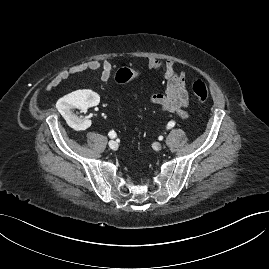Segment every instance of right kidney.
I'll list each match as a JSON object with an SVG mask.
<instances>
[{
  "label": "right kidney",
  "instance_id": "1",
  "mask_svg": "<svg viewBox=\"0 0 269 269\" xmlns=\"http://www.w3.org/2000/svg\"><path fill=\"white\" fill-rule=\"evenodd\" d=\"M99 99V95L92 90H76L60 98L56 103V108L70 126L86 129L91 125V121L87 118L76 116L72 112V109L86 110L89 107L97 105Z\"/></svg>",
  "mask_w": 269,
  "mask_h": 269
}]
</instances>
